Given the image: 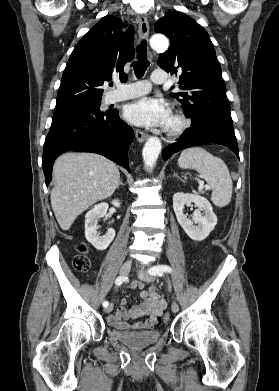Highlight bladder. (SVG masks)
Segmentation results:
<instances>
[{"instance_id": "bladder-1", "label": "bladder", "mask_w": 279, "mask_h": 391, "mask_svg": "<svg viewBox=\"0 0 279 391\" xmlns=\"http://www.w3.org/2000/svg\"><path fill=\"white\" fill-rule=\"evenodd\" d=\"M116 340L130 348H143L156 343L160 338L159 331H125L113 329Z\"/></svg>"}]
</instances>
